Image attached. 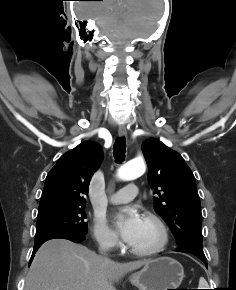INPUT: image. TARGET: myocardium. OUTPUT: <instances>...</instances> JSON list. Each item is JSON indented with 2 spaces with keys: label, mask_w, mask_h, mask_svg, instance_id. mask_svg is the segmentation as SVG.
I'll return each instance as SVG.
<instances>
[{
  "label": "myocardium",
  "mask_w": 236,
  "mask_h": 290,
  "mask_svg": "<svg viewBox=\"0 0 236 290\" xmlns=\"http://www.w3.org/2000/svg\"><path fill=\"white\" fill-rule=\"evenodd\" d=\"M143 219L152 223L158 231V240L157 242L149 248H135L129 246L128 249L130 253L140 256V257H149L158 254L161 252L168 243L169 234L168 229L163 222V220L155 213L146 211L143 213Z\"/></svg>",
  "instance_id": "1"
}]
</instances>
